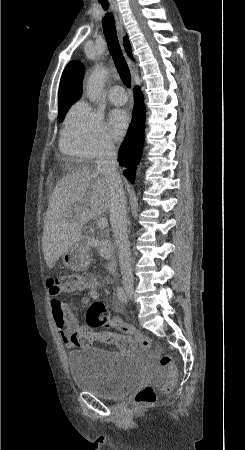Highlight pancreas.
<instances>
[{
	"instance_id": "1",
	"label": "pancreas",
	"mask_w": 245,
	"mask_h": 450,
	"mask_svg": "<svg viewBox=\"0 0 245 450\" xmlns=\"http://www.w3.org/2000/svg\"><path fill=\"white\" fill-rule=\"evenodd\" d=\"M98 250H99L100 254H101L105 259H108V258H109V250H108L107 248H105V247H103V246H100V247L98 248Z\"/></svg>"
}]
</instances>
